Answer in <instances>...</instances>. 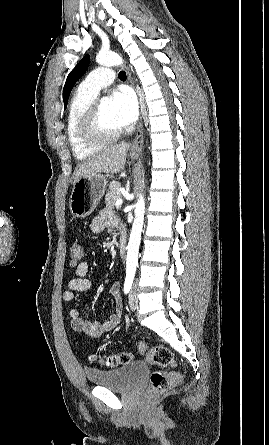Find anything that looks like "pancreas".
I'll return each instance as SVG.
<instances>
[{"mask_svg": "<svg viewBox=\"0 0 269 445\" xmlns=\"http://www.w3.org/2000/svg\"><path fill=\"white\" fill-rule=\"evenodd\" d=\"M119 188H120L119 182H112L109 185V191L105 197V203L107 207L114 208V206L116 205V200L118 198H121Z\"/></svg>", "mask_w": 269, "mask_h": 445, "instance_id": "pancreas-1", "label": "pancreas"}]
</instances>
